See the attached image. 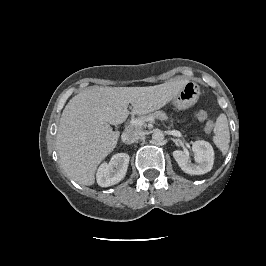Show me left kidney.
<instances>
[{
	"label": "left kidney",
	"instance_id": "5707ae66",
	"mask_svg": "<svg viewBox=\"0 0 266 266\" xmlns=\"http://www.w3.org/2000/svg\"><path fill=\"white\" fill-rule=\"evenodd\" d=\"M192 150L197 164L191 163L187 152L181 150L173 152V157L180 168L191 175H201L209 172L214 163V150L211 144L204 140H198L193 143Z\"/></svg>",
	"mask_w": 266,
	"mask_h": 266
}]
</instances>
